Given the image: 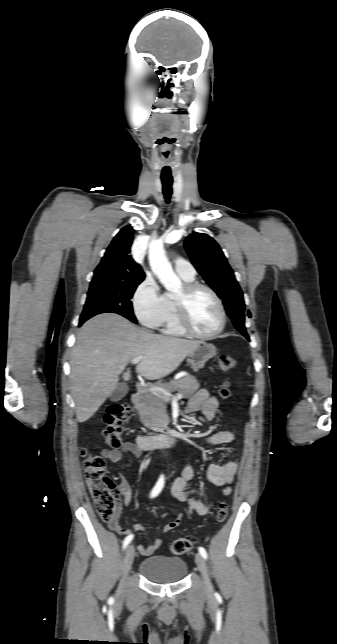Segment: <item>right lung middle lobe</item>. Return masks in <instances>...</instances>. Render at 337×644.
Returning a JSON list of instances; mask_svg holds the SVG:
<instances>
[{"label": "right lung middle lobe", "instance_id": "obj_1", "mask_svg": "<svg viewBox=\"0 0 337 644\" xmlns=\"http://www.w3.org/2000/svg\"><path fill=\"white\" fill-rule=\"evenodd\" d=\"M141 282L91 283L80 322L101 313H117L132 322H137L131 298Z\"/></svg>", "mask_w": 337, "mask_h": 644}]
</instances>
